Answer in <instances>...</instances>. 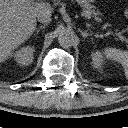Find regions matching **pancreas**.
<instances>
[{"mask_svg": "<svg viewBox=\"0 0 128 128\" xmlns=\"http://www.w3.org/2000/svg\"><path fill=\"white\" fill-rule=\"evenodd\" d=\"M82 8H83V12L81 13L82 16L86 17V18H90L91 16H95L98 15V12H95L92 8H94V6H92L90 4V1L92 0H75ZM96 19H98L96 17Z\"/></svg>", "mask_w": 128, "mask_h": 128, "instance_id": "cf45deb5", "label": "pancreas"}]
</instances>
